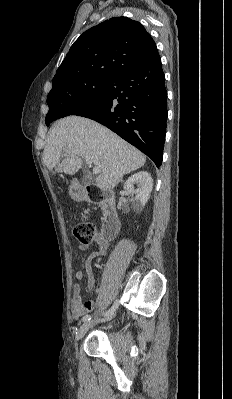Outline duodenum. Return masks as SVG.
I'll use <instances>...</instances> for the list:
<instances>
[{
    "mask_svg": "<svg viewBox=\"0 0 232 399\" xmlns=\"http://www.w3.org/2000/svg\"><path fill=\"white\" fill-rule=\"evenodd\" d=\"M78 195L84 201L99 204L102 207L104 225L101 235L108 241L114 239L120 230L114 193L94 185H84L78 189Z\"/></svg>",
    "mask_w": 232,
    "mask_h": 399,
    "instance_id": "duodenum-1",
    "label": "duodenum"
}]
</instances>
